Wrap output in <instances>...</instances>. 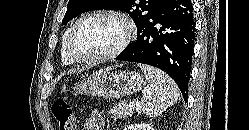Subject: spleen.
<instances>
[{"instance_id": "obj_1", "label": "spleen", "mask_w": 249, "mask_h": 130, "mask_svg": "<svg viewBox=\"0 0 249 130\" xmlns=\"http://www.w3.org/2000/svg\"><path fill=\"white\" fill-rule=\"evenodd\" d=\"M138 66L149 84L140 102L141 110L149 117L158 116L177 102V85L172 78L157 68L145 64Z\"/></svg>"}]
</instances>
